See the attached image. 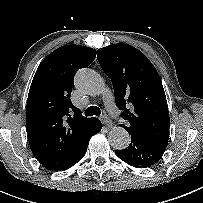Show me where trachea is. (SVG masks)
<instances>
[{
    "label": "trachea",
    "instance_id": "1",
    "mask_svg": "<svg viewBox=\"0 0 203 203\" xmlns=\"http://www.w3.org/2000/svg\"><path fill=\"white\" fill-rule=\"evenodd\" d=\"M100 114L101 110L97 106H90L85 110V116H99Z\"/></svg>",
    "mask_w": 203,
    "mask_h": 203
}]
</instances>
